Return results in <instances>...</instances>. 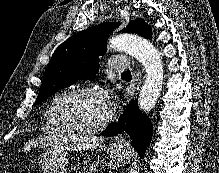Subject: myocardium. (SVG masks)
I'll return each instance as SVG.
<instances>
[{"label":"myocardium","instance_id":"1","mask_svg":"<svg viewBox=\"0 0 219 173\" xmlns=\"http://www.w3.org/2000/svg\"><path fill=\"white\" fill-rule=\"evenodd\" d=\"M102 94L99 88L91 85H86V86H80L77 88H74L67 93L61 98L58 107H57V118L62 126V128L67 131L69 134L75 135V136H89L93 135L96 133L101 132L104 130L109 123L111 122L113 118V112L111 110L108 111V114L106 117L96 126L90 127V128H80L77 126H74L67 115V109L68 105L71 102L72 99L75 97L82 95V94Z\"/></svg>","mask_w":219,"mask_h":173}]
</instances>
